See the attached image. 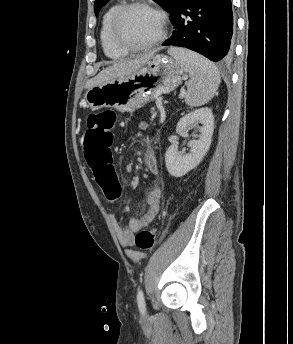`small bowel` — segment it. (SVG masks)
<instances>
[{
    "instance_id": "small-bowel-1",
    "label": "small bowel",
    "mask_w": 293,
    "mask_h": 344,
    "mask_svg": "<svg viewBox=\"0 0 293 344\" xmlns=\"http://www.w3.org/2000/svg\"><path fill=\"white\" fill-rule=\"evenodd\" d=\"M143 161L146 169L157 175L159 172V166L155 154L149 144L143 155ZM161 199V188L159 185H154L147 195V209L145 213L135 219H131L126 226L120 225L118 218L112 216V221L119 239L120 244L127 248V256L134 262H138L144 258V254L137 250L131 249L135 243V233L139 230L148 227L159 212Z\"/></svg>"
}]
</instances>
